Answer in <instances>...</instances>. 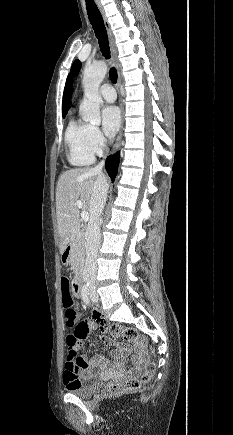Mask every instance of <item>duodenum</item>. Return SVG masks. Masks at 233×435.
<instances>
[{
  "label": "duodenum",
  "instance_id": "duodenum-1",
  "mask_svg": "<svg viewBox=\"0 0 233 435\" xmlns=\"http://www.w3.org/2000/svg\"><path fill=\"white\" fill-rule=\"evenodd\" d=\"M73 248H74V243L73 242L67 243L64 246V248L62 250V256H61V261H62L63 264H67L68 263V258H69L70 253L72 252ZM82 278H83V275H82L81 272H79L76 275V278H75V280L73 282V286H74V289H75V296L76 297H80L81 294H82Z\"/></svg>",
  "mask_w": 233,
  "mask_h": 435
}]
</instances>
